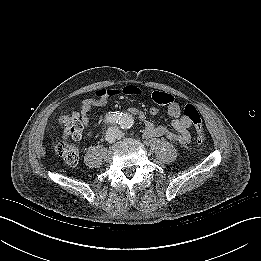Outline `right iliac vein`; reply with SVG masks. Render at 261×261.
<instances>
[{
	"mask_svg": "<svg viewBox=\"0 0 261 261\" xmlns=\"http://www.w3.org/2000/svg\"><path fill=\"white\" fill-rule=\"evenodd\" d=\"M107 140H108V142H112V140H113V137H112V135H111V134H109V135L107 136Z\"/></svg>",
	"mask_w": 261,
	"mask_h": 261,
	"instance_id": "1",
	"label": "right iliac vein"
}]
</instances>
